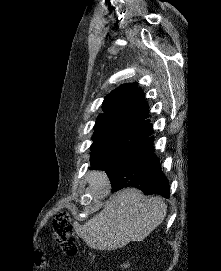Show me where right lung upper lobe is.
<instances>
[{
  "instance_id": "right-lung-upper-lobe-1",
  "label": "right lung upper lobe",
  "mask_w": 221,
  "mask_h": 271,
  "mask_svg": "<svg viewBox=\"0 0 221 271\" xmlns=\"http://www.w3.org/2000/svg\"><path fill=\"white\" fill-rule=\"evenodd\" d=\"M103 114L95 124V132L105 129H132L150 131L147 120L149 107L136 83H128L108 94L103 102Z\"/></svg>"
}]
</instances>
